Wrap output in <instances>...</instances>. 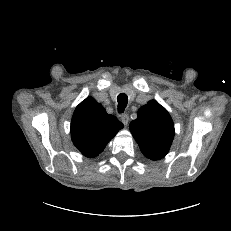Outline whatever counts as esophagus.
Wrapping results in <instances>:
<instances>
[{"label": "esophagus", "mask_w": 231, "mask_h": 231, "mask_svg": "<svg viewBox=\"0 0 231 231\" xmlns=\"http://www.w3.org/2000/svg\"><path fill=\"white\" fill-rule=\"evenodd\" d=\"M121 121L126 126L128 124V122H129V116L127 114H123L121 116Z\"/></svg>", "instance_id": "34e87169"}]
</instances>
